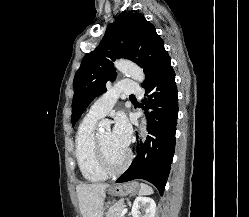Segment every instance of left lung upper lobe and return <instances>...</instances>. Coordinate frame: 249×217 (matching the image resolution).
Segmentation results:
<instances>
[{"mask_svg": "<svg viewBox=\"0 0 249 217\" xmlns=\"http://www.w3.org/2000/svg\"><path fill=\"white\" fill-rule=\"evenodd\" d=\"M168 56L163 40L143 14H119L96 49L84 56L75 74L72 126L89 103L106 91V83L115 79L112 61L126 58L143 68L146 77L142 87H146Z\"/></svg>", "mask_w": 249, "mask_h": 217, "instance_id": "5c2ea615", "label": "left lung upper lobe"}]
</instances>
